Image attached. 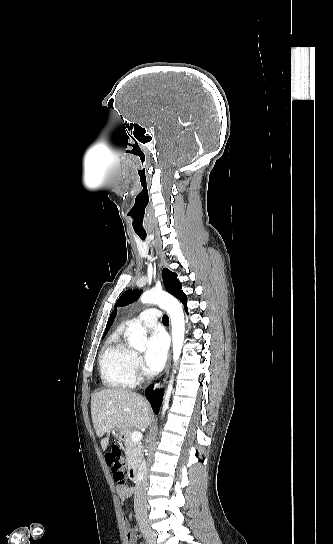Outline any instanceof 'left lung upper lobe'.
I'll list each match as a JSON object with an SVG mask.
<instances>
[{
	"instance_id": "1",
	"label": "left lung upper lobe",
	"mask_w": 333,
	"mask_h": 544,
	"mask_svg": "<svg viewBox=\"0 0 333 544\" xmlns=\"http://www.w3.org/2000/svg\"><path fill=\"white\" fill-rule=\"evenodd\" d=\"M163 280L164 285L167 291L178 298L182 303L187 302L186 295L182 292V285L177 279V274L169 271L168 269H163ZM140 296L139 290H128L124 292L116 302L114 307L126 306L134 301H136Z\"/></svg>"
}]
</instances>
